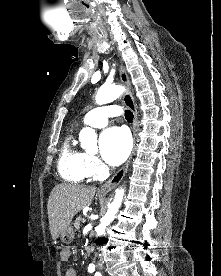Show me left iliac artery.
I'll use <instances>...</instances> for the list:
<instances>
[{"mask_svg": "<svg viewBox=\"0 0 221 276\" xmlns=\"http://www.w3.org/2000/svg\"><path fill=\"white\" fill-rule=\"evenodd\" d=\"M95 276H101V274L99 272H96Z\"/></svg>", "mask_w": 221, "mask_h": 276, "instance_id": "obj_1", "label": "left iliac artery"}]
</instances>
